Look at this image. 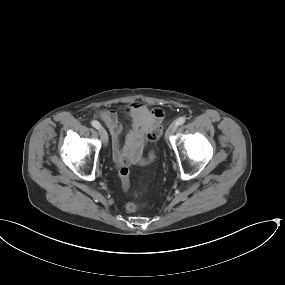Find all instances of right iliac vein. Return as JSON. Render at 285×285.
I'll use <instances>...</instances> for the list:
<instances>
[{
  "instance_id": "obj_1",
  "label": "right iliac vein",
  "mask_w": 285,
  "mask_h": 285,
  "mask_svg": "<svg viewBox=\"0 0 285 285\" xmlns=\"http://www.w3.org/2000/svg\"><path fill=\"white\" fill-rule=\"evenodd\" d=\"M98 132L104 144L108 143V135L104 127L100 126L98 128Z\"/></svg>"
}]
</instances>
